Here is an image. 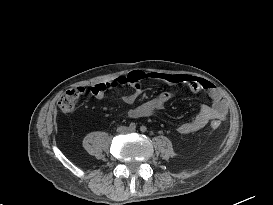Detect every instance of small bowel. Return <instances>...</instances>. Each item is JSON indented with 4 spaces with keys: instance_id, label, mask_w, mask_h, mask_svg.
<instances>
[{
    "instance_id": "1",
    "label": "small bowel",
    "mask_w": 273,
    "mask_h": 205,
    "mask_svg": "<svg viewBox=\"0 0 273 205\" xmlns=\"http://www.w3.org/2000/svg\"><path fill=\"white\" fill-rule=\"evenodd\" d=\"M145 81H156L172 85L185 84L189 92L196 94L204 91L212 99L211 105H202L198 113L191 120L179 126V132L182 134L198 131L210 120H223L227 115L228 107L226 100L214 84L201 78L185 74L134 70L126 76H120L106 82L94 84L90 89V93L94 98L103 100L107 91L129 85L133 90L129 94H126L123 100L130 104L135 102L143 91L141 83ZM176 95V91H164L155 98L134 107L130 110L129 114L135 118L152 116L156 111L162 110L167 102Z\"/></svg>"
}]
</instances>
